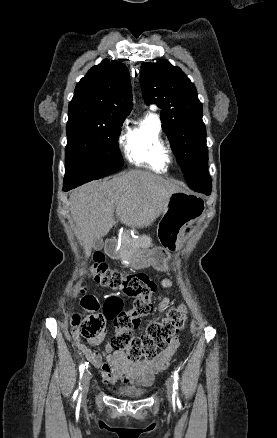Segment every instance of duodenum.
Masks as SVG:
<instances>
[{
  "label": "duodenum",
  "instance_id": "duodenum-1",
  "mask_svg": "<svg viewBox=\"0 0 277 438\" xmlns=\"http://www.w3.org/2000/svg\"><path fill=\"white\" fill-rule=\"evenodd\" d=\"M105 251L111 256H119L118 242L115 239H108L105 244Z\"/></svg>",
  "mask_w": 277,
  "mask_h": 438
}]
</instances>
